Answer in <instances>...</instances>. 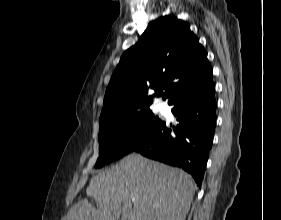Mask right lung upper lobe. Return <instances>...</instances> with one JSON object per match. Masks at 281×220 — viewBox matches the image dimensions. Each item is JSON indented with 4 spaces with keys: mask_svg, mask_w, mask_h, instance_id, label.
<instances>
[{
    "mask_svg": "<svg viewBox=\"0 0 281 220\" xmlns=\"http://www.w3.org/2000/svg\"><path fill=\"white\" fill-rule=\"evenodd\" d=\"M211 82L207 53L189 25L174 16L160 17L122 55L105 93L100 127L149 108L154 96L162 95L169 103ZM166 86L162 94L161 87ZM152 89L160 91L149 95Z\"/></svg>",
    "mask_w": 281,
    "mask_h": 220,
    "instance_id": "obj_1",
    "label": "right lung upper lobe"
}]
</instances>
